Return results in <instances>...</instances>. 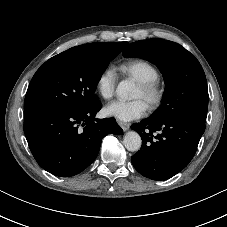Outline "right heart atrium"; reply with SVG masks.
I'll use <instances>...</instances> for the list:
<instances>
[{
  "label": "right heart atrium",
  "instance_id": "1",
  "mask_svg": "<svg viewBox=\"0 0 227 227\" xmlns=\"http://www.w3.org/2000/svg\"><path fill=\"white\" fill-rule=\"evenodd\" d=\"M117 76L113 69H104L97 77L96 91L99 96L105 100H109L115 93Z\"/></svg>",
  "mask_w": 227,
  "mask_h": 227
}]
</instances>
